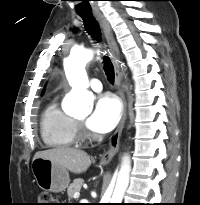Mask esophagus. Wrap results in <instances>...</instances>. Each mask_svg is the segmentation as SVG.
I'll use <instances>...</instances> for the list:
<instances>
[{"mask_svg": "<svg viewBox=\"0 0 200 205\" xmlns=\"http://www.w3.org/2000/svg\"><path fill=\"white\" fill-rule=\"evenodd\" d=\"M94 16L96 20L99 22L105 35L107 46L112 57V63L114 65L115 85L117 87V93L121 99L123 106L121 121L110 139L108 150L105 153H103L100 158L101 164H108L119 150L120 137L127 119V100L125 97V90L122 85V74L119 69V48L114 38L110 24L107 21V19L103 16V14H101L100 12H95Z\"/></svg>", "mask_w": 200, "mask_h": 205, "instance_id": "esophagus-1", "label": "esophagus"}]
</instances>
